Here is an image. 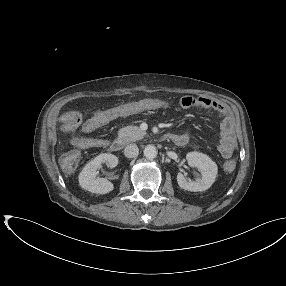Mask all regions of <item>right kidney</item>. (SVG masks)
<instances>
[{"mask_svg":"<svg viewBox=\"0 0 286 286\" xmlns=\"http://www.w3.org/2000/svg\"><path fill=\"white\" fill-rule=\"evenodd\" d=\"M103 163L114 168L118 164V158L113 154L103 153L87 163L78 177L79 185L83 189L96 194H106L114 189V185L110 181L97 177L98 169Z\"/></svg>","mask_w":286,"mask_h":286,"instance_id":"1","label":"right kidney"}]
</instances>
